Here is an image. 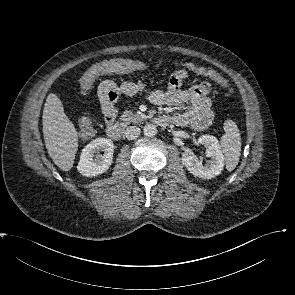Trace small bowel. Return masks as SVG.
<instances>
[{
    "label": "small bowel",
    "instance_id": "small-bowel-1",
    "mask_svg": "<svg viewBox=\"0 0 295 295\" xmlns=\"http://www.w3.org/2000/svg\"><path fill=\"white\" fill-rule=\"evenodd\" d=\"M121 60L132 66V72L142 70L145 67L140 61L131 59ZM192 66L194 65L191 63L186 64L188 69ZM98 92L102 112L108 124L113 123L115 119L116 103L120 95H143L151 103L171 107H178L183 103H189V107L185 111L177 113L170 118L174 124L180 127H190L193 130L201 131L207 128L212 120L211 100L208 97L210 85L207 83L194 85L188 89H181V87H177L169 82L166 90L146 92V84L141 81H127L118 85L112 80H105L100 83Z\"/></svg>",
    "mask_w": 295,
    "mask_h": 295
}]
</instances>
